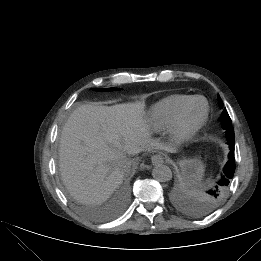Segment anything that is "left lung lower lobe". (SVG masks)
I'll list each match as a JSON object with an SVG mask.
<instances>
[{"instance_id": "0a47b994", "label": "left lung lower lobe", "mask_w": 261, "mask_h": 261, "mask_svg": "<svg viewBox=\"0 0 261 261\" xmlns=\"http://www.w3.org/2000/svg\"><path fill=\"white\" fill-rule=\"evenodd\" d=\"M230 147V153H229V160L226 163L223 171L225 174L229 177L230 181L233 178L234 172H235V158H234V144H229Z\"/></svg>"}]
</instances>
